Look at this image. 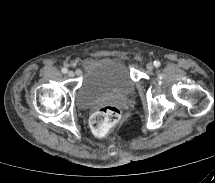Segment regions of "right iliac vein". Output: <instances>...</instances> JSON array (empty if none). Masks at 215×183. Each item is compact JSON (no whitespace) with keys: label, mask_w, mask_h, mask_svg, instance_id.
Listing matches in <instances>:
<instances>
[{"label":"right iliac vein","mask_w":215,"mask_h":183,"mask_svg":"<svg viewBox=\"0 0 215 183\" xmlns=\"http://www.w3.org/2000/svg\"><path fill=\"white\" fill-rule=\"evenodd\" d=\"M67 75H68L69 77H74L75 74H74L73 71H68Z\"/></svg>","instance_id":"1"}]
</instances>
